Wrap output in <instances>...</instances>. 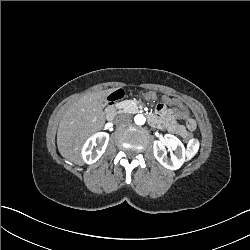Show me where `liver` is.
<instances>
[{
	"instance_id": "liver-1",
	"label": "liver",
	"mask_w": 250,
	"mask_h": 250,
	"mask_svg": "<svg viewBox=\"0 0 250 250\" xmlns=\"http://www.w3.org/2000/svg\"><path fill=\"white\" fill-rule=\"evenodd\" d=\"M112 91L114 89L83 95L65 112L57 131V146L65 159L76 165L83 164L79 149L90 133L102 127V102Z\"/></svg>"
}]
</instances>
